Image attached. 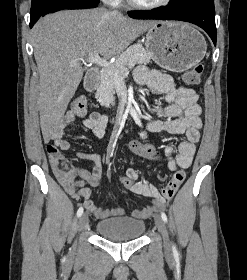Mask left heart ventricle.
Masks as SVG:
<instances>
[{"label":"left heart ventricle","instance_id":"b2bd125f","mask_svg":"<svg viewBox=\"0 0 247 280\" xmlns=\"http://www.w3.org/2000/svg\"><path fill=\"white\" fill-rule=\"evenodd\" d=\"M136 1L143 3V4H151V3L157 2L159 0H136Z\"/></svg>","mask_w":247,"mask_h":280}]
</instances>
